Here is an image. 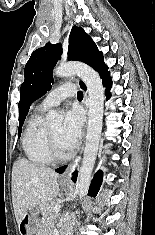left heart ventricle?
Masks as SVG:
<instances>
[{"mask_svg": "<svg viewBox=\"0 0 155 235\" xmlns=\"http://www.w3.org/2000/svg\"><path fill=\"white\" fill-rule=\"evenodd\" d=\"M50 132L52 133L55 141H56V144H57V147L59 149L60 152H67V150L64 148V146L62 145L61 141H60V138H59V134H60V130H61V126L60 125H56V126H53L51 127L50 129Z\"/></svg>", "mask_w": 155, "mask_h": 235, "instance_id": "b2bd125f", "label": "left heart ventricle"}]
</instances>
